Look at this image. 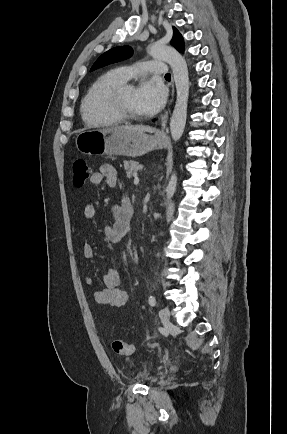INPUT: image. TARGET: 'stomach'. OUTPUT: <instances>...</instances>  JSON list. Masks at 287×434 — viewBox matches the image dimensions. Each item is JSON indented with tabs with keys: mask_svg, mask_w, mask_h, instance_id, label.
Returning a JSON list of instances; mask_svg holds the SVG:
<instances>
[{
	"mask_svg": "<svg viewBox=\"0 0 287 434\" xmlns=\"http://www.w3.org/2000/svg\"><path fill=\"white\" fill-rule=\"evenodd\" d=\"M75 144L83 154L137 157L161 149L163 141L156 135L111 127L82 131L76 136Z\"/></svg>",
	"mask_w": 287,
	"mask_h": 434,
	"instance_id": "1",
	"label": "stomach"
}]
</instances>
